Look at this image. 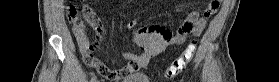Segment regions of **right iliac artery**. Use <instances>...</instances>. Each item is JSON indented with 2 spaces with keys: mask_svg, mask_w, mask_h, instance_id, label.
Masks as SVG:
<instances>
[{
  "mask_svg": "<svg viewBox=\"0 0 279 82\" xmlns=\"http://www.w3.org/2000/svg\"><path fill=\"white\" fill-rule=\"evenodd\" d=\"M90 82H97L96 81V78H95V75H93V77L91 78V81Z\"/></svg>",
  "mask_w": 279,
  "mask_h": 82,
  "instance_id": "obj_1",
  "label": "right iliac artery"
}]
</instances>
